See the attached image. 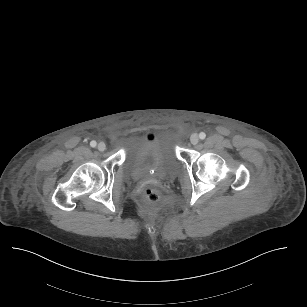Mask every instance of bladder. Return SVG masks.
Here are the masks:
<instances>
[{
  "mask_svg": "<svg viewBox=\"0 0 307 307\" xmlns=\"http://www.w3.org/2000/svg\"><path fill=\"white\" fill-rule=\"evenodd\" d=\"M123 167L134 180L146 179L152 173L167 177L178 170L179 160L170 143L150 137L127 148Z\"/></svg>",
  "mask_w": 307,
  "mask_h": 307,
  "instance_id": "1",
  "label": "bladder"
}]
</instances>
